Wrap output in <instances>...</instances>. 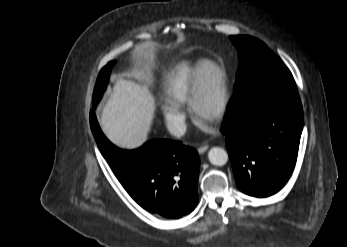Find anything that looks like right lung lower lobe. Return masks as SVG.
Here are the masks:
<instances>
[{"label": "right lung lower lobe", "mask_w": 347, "mask_h": 247, "mask_svg": "<svg viewBox=\"0 0 347 247\" xmlns=\"http://www.w3.org/2000/svg\"><path fill=\"white\" fill-rule=\"evenodd\" d=\"M90 126L113 173L142 208L169 219L180 218L195 208L200 166L195 149L179 141L155 139L136 150H122L105 137L94 111L90 113Z\"/></svg>", "instance_id": "right-lung-lower-lobe-1"}]
</instances>
